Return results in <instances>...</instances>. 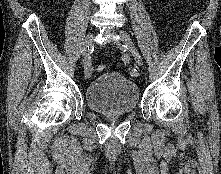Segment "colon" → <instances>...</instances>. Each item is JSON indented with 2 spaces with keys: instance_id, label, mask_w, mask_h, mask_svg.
Wrapping results in <instances>:
<instances>
[{
  "instance_id": "obj_1",
  "label": "colon",
  "mask_w": 221,
  "mask_h": 174,
  "mask_svg": "<svg viewBox=\"0 0 221 174\" xmlns=\"http://www.w3.org/2000/svg\"><path fill=\"white\" fill-rule=\"evenodd\" d=\"M105 69H106V66L103 65V64L98 65L97 68H96L97 72H99V73L104 72Z\"/></svg>"
}]
</instances>
